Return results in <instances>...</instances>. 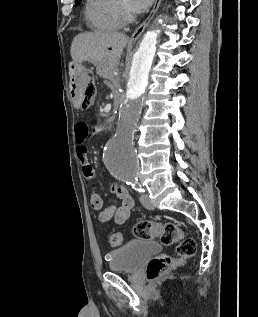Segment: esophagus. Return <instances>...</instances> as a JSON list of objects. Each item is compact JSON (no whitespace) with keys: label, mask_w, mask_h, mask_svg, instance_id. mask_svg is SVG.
<instances>
[{"label":"esophagus","mask_w":258,"mask_h":317,"mask_svg":"<svg viewBox=\"0 0 258 317\" xmlns=\"http://www.w3.org/2000/svg\"><path fill=\"white\" fill-rule=\"evenodd\" d=\"M160 2H161V0H155V4H154L153 9L151 10V13L146 18V20H144V22L141 23V25H139V27H137L136 30H134V32L132 33V36H131V40H136L142 35L144 30L148 27L149 23L151 22L152 18L154 17L155 13L157 12L158 7L160 5Z\"/></svg>","instance_id":"1"}]
</instances>
